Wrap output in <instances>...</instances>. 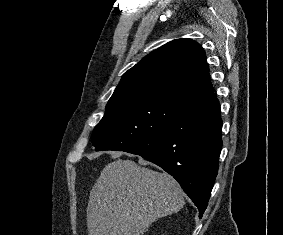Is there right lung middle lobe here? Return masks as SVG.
Here are the masks:
<instances>
[{
    "instance_id": "1",
    "label": "right lung middle lobe",
    "mask_w": 283,
    "mask_h": 235,
    "mask_svg": "<svg viewBox=\"0 0 283 235\" xmlns=\"http://www.w3.org/2000/svg\"><path fill=\"white\" fill-rule=\"evenodd\" d=\"M184 103L170 99H129L108 103L91 142L96 151H124L158 135L183 112Z\"/></svg>"
}]
</instances>
